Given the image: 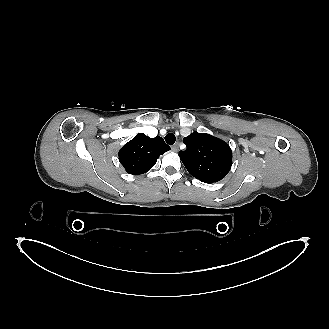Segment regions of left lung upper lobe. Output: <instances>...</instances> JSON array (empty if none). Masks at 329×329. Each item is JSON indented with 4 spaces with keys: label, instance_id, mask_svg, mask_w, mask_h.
<instances>
[{
    "label": "left lung upper lobe",
    "instance_id": "1",
    "mask_svg": "<svg viewBox=\"0 0 329 329\" xmlns=\"http://www.w3.org/2000/svg\"><path fill=\"white\" fill-rule=\"evenodd\" d=\"M187 148L179 157L188 172L205 183L223 179L232 165L229 145L212 135L193 132L183 139Z\"/></svg>",
    "mask_w": 329,
    "mask_h": 329
}]
</instances>
